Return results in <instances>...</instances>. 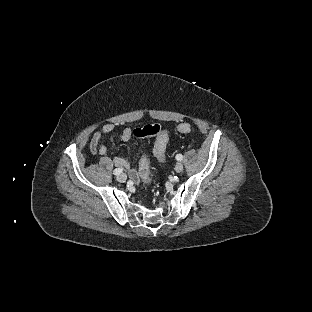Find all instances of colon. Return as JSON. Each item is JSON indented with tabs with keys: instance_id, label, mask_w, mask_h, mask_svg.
Returning <instances> with one entry per match:
<instances>
[{
	"instance_id": "obj_1",
	"label": "colon",
	"mask_w": 312,
	"mask_h": 312,
	"mask_svg": "<svg viewBox=\"0 0 312 312\" xmlns=\"http://www.w3.org/2000/svg\"><path fill=\"white\" fill-rule=\"evenodd\" d=\"M190 127L188 124L183 123L179 127V131L183 134L188 133ZM160 131V125L156 123H152L146 125L142 131L141 135H155ZM173 132L170 129L162 131L154 140L153 150L155 154V158L157 161L162 162L165 160V143L172 137ZM139 179L141 183L145 186H149L153 180L158 177L157 171L152 169L149 165V161L146 155H143L140 159L139 168H138Z\"/></svg>"
}]
</instances>
